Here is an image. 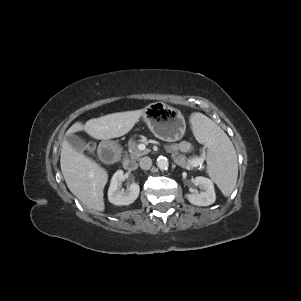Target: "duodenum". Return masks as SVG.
<instances>
[{
    "mask_svg": "<svg viewBox=\"0 0 301 301\" xmlns=\"http://www.w3.org/2000/svg\"><path fill=\"white\" fill-rule=\"evenodd\" d=\"M97 157L100 162L107 163L110 166H117L123 160L122 165L126 171H134L137 167L136 162L130 158H124L123 149L110 140L100 142Z\"/></svg>",
    "mask_w": 301,
    "mask_h": 301,
    "instance_id": "410a0bca",
    "label": "duodenum"
}]
</instances>
